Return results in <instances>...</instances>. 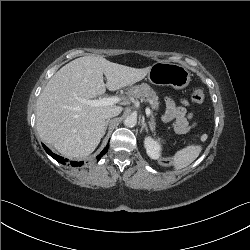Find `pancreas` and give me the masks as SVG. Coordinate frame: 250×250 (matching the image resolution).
Returning a JSON list of instances; mask_svg holds the SVG:
<instances>
[{
  "mask_svg": "<svg viewBox=\"0 0 250 250\" xmlns=\"http://www.w3.org/2000/svg\"><path fill=\"white\" fill-rule=\"evenodd\" d=\"M127 94L130 97L138 98L143 101H148L151 103L152 109H158L159 108V98L156 94V92L146 83H142L140 85H136L131 87ZM150 128L152 131L155 130V119L154 116L151 117L150 121Z\"/></svg>",
  "mask_w": 250,
  "mask_h": 250,
  "instance_id": "pancreas-1",
  "label": "pancreas"
}]
</instances>
